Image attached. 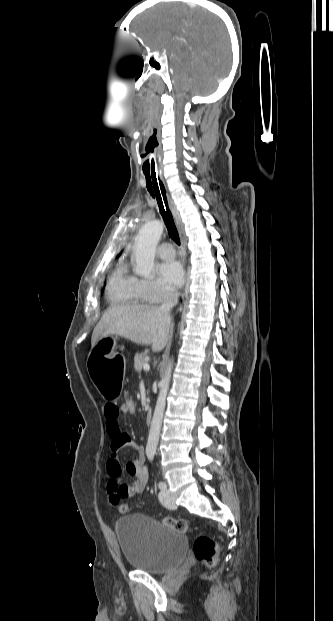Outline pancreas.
Wrapping results in <instances>:
<instances>
[{"label":"pancreas","mask_w":333,"mask_h":621,"mask_svg":"<svg viewBox=\"0 0 333 621\" xmlns=\"http://www.w3.org/2000/svg\"><path fill=\"white\" fill-rule=\"evenodd\" d=\"M147 352L139 353L134 356V368L137 372H141L143 365L147 363Z\"/></svg>","instance_id":"1"}]
</instances>
